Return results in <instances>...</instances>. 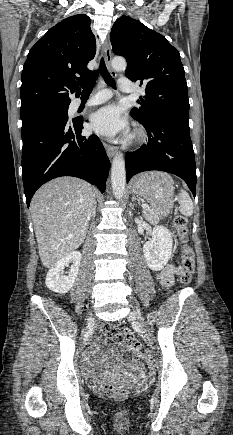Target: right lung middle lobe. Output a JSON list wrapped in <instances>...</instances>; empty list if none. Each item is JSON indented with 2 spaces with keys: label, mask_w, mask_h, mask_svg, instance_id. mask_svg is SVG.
<instances>
[{
  "label": "right lung middle lobe",
  "mask_w": 233,
  "mask_h": 435,
  "mask_svg": "<svg viewBox=\"0 0 233 435\" xmlns=\"http://www.w3.org/2000/svg\"><path fill=\"white\" fill-rule=\"evenodd\" d=\"M54 118L68 120V106L66 105L47 108L25 116H21L22 129L28 128L42 121Z\"/></svg>",
  "instance_id": "dd1d6c3e"
}]
</instances>
